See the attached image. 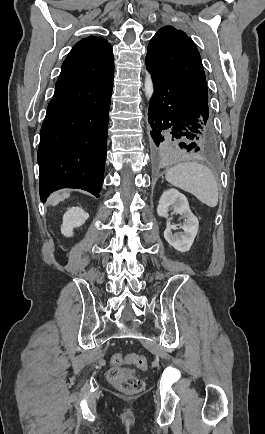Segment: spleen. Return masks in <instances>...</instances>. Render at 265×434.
<instances>
[{
	"instance_id": "obj_1",
	"label": "spleen",
	"mask_w": 265,
	"mask_h": 434,
	"mask_svg": "<svg viewBox=\"0 0 265 434\" xmlns=\"http://www.w3.org/2000/svg\"><path fill=\"white\" fill-rule=\"evenodd\" d=\"M169 184L190 192L202 204L215 208L218 204V186L210 168L199 162H184L169 168L165 174Z\"/></svg>"
}]
</instances>
